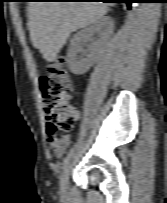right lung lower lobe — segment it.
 Listing matches in <instances>:
<instances>
[{
    "label": "right lung lower lobe",
    "mask_w": 167,
    "mask_h": 203,
    "mask_svg": "<svg viewBox=\"0 0 167 203\" xmlns=\"http://www.w3.org/2000/svg\"><path fill=\"white\" fill-rule=\"evenodd\" d=\"M103 1H107L105 3H126L128 9L131 8V3H134V0H103Z\"/></svg>",
    "instance_id": "right-lung-lower-lobe-1"
}]
</instances>
